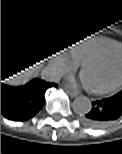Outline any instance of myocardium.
<instances>
[{
	"instance_id": "obj_1",
	"label": "myocardium",
	"mask_w": 122,
	"mask_h": 154,
	"mask_svg": "<svg viewBox=\"0 0 122 154\" xmlns=\"http://www.w3.org/2000/svg\"><path fill=\"white\" fill-rule=\"evenodd\" d=\"M113 49H115V46L106 48L104 50H101L95 54H92L86 58H84L81 61V68L82 70H84V68L89 65L92 62H95L97 60H99L100 58H102L104 55H106L107 53H109L110 51H112ZM120 86H122V76L115 82L107 85V86H103V87H99V88H90V91L94 94H107L110 93L114 90H116L117 88H119Z\"/></svg>"
}]
</instances>
